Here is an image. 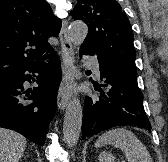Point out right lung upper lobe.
<instances>
[{"instance_id":"1","label":"right lung upper lobe","mask_w":168,"mask_h":162,"mask_svg":"<svg viewBox=\"0 0 168 162\" xmlns=\"http://www.w3.org/2000/svg\"><path fill=\"white\" fill-rule=\"evenodd\" d=\"M61 24L45 0H0V78L41 63Z\"/></svg>"}]
</instances>
